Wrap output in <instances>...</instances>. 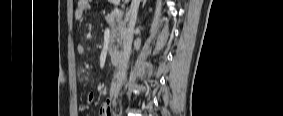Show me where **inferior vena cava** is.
I'll list each match as a JSON object with an SVG mask.
<instances>
[{
	"instance_id": "obj_1",
	"label": "inferior vena cava",
	"mask_w": 283,
	"mask_h": 116,
	"mask_svg": "<svg viewBox=\"0 0 283 116\" xmlns=\"http://www.w3.org/2000/svg\"><path fill=\"white\" fill-rule=\"evenodd\" d=\"M140 0H132L130 8V18L128 29L126 30L124 40H123V58L121 68L119 70L120 81L123 82L126 78V70L128 66V61L131 53V46L133 41L134 27L137 19V12L139 8Z\"/></svg>"
}]
</instances>
